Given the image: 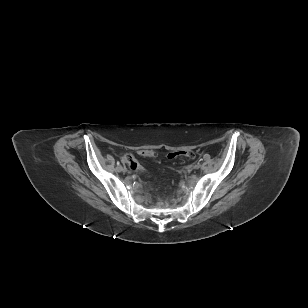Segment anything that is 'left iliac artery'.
Listing matches in <instances>:
<instances>
[{
  "mask_svg": "<svg viewBox=\"0 0 308 308\" xmlns=\"http://www.w3.org/2000/svg\"><path fill=\"white\" fill-rule=\"evenodd\" d=\"M203 158H204V160H205V161H209V160H210V157H209V155H207V154H206V155H204V157H203Z\"/></svg>",
  "mask_w": 308,
  "mask_h": 308,
  "instance_id": "1",
  "label": "left iliac artery"
}]
</instances>
